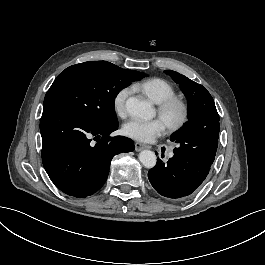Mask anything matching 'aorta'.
<instances>
[{
	"instance_id": "762f6f07",
	"label": "aorta",
	"mask_w": 265,
	"mask_h": 265,
	"mask_svg": "<svg viewBox=\"0 0 265 265\" xmlns=\"http://www.w3.org/2000/svg\"><path fill=\"white\" fill-rule=\"evenodd\" d=\"M125 107L129 115L138 118L149 119L153 112L150 103L134 96L126 99ZM139 161L145 168L152 169L156 166L157 157L153 151L144 150L139 154Z\"/></svg>"
}]
</instances>
